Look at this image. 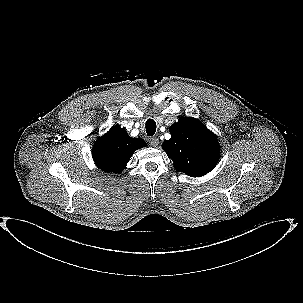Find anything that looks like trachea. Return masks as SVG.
I'll list each match as a JSON object with an SVG mask.
<instances>
[{
    "label": "trachea",
    "instance_id": "trachea-1",
    "mask_svg": "<svg viewBox=\"0 0 303 303\" xmlns=\"http://www.w3.org/2000/svg\"><path fill=\"white\" fill-rule=\"evenodd\" d=\"M146 133L148 136H152L156 132V122L153 119H148L146 121Z\"/></svg>",
    "mask_w": 303,
    "mask_h": 303
}]
</instances>
